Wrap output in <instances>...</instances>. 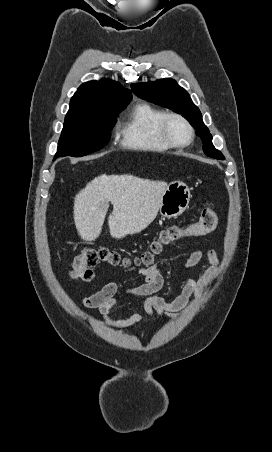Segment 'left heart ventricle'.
<instances>
[{
    "instance_id": "left-heart-ventricle-1",
    "label": "left heart ventricle",
    "mask_w": 272,
    "mask_h": 452,
    "mask_svg": "<svg viewBox=\"0 0 272 452\" xmlns=\"http://www.w3.org/2000/svg\"><path fill=\"white\" fill-rule=\"evenodd\" d=\"M169 132L177 142H185L188 139V131L180 121L173 119L169 123Z\"/></svg>"
}]
</instances>
